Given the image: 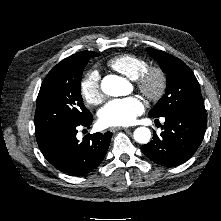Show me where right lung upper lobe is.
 <instances>
[{
    "label": "right lung upper lobe",
    "mask_w": 221,
    "mask_h": 221,
    "mask_svg": "<svg viewBox=\"0 0 221 221\" xmlns=\"http://www.w3.org/2000/svg\"><path fill=\"white\" fill-rule=\"evenodd\" d=\"M94 52L93 51H82V52H78L74 55H71L67 58H65L64 60H62V62H77L81 59L87 58L90 55H92Z\"/></svg>",
    "instance_id": "cb5924a9"
}]
</instances>
